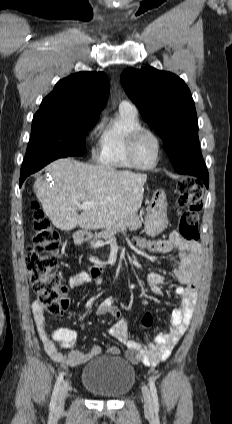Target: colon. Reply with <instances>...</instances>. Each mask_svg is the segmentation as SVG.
Returning <instances> with one entry per match:
<instances>
[{"label":"colon","instance_id":"5ec220e1","mask_svg":"<svg viewBox=\"0 0 232 424\" xmlns=\"http://www.w3.org/2000/svg\"><path fill=\"white\" fill-rule=\"evenodd\" d=\"M177 208H185L178 220L177 232L184 245L194 243L199 237L198 224L204 203V188L196 180L185 179L178 185ZM31 190V194H33ZM35 235L27 249L25 264L32 289L36 294L35 304L58 315L64 311L61 279L58 275L57 255L60 238L50 221L40 209L37 201L32 202ZM153 316H143L139 331L150 327Z\"/></svg>","mask_w":232,"mask_h":424}]
</instances>
